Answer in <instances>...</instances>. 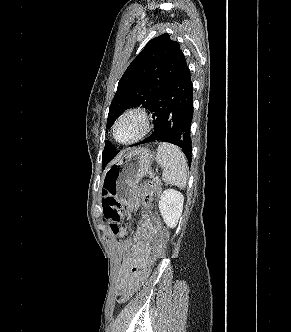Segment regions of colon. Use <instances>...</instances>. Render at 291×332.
Wrapping results in <instances>:
<instances>
[{
    "mask_svg": "<svg viewBox=\"0 0 291 332\" xmlns=\"http://www.w3.org/2000/svg\"><path fill=\"white\" fill-rule=\"evenodd\" d=\"M160 192L159 187L152 182H145L140 186V194L142 202L150 205L154 195ZM102 210L105 219L110 223L111 231L115 235L124 236L127 232L124 227L120 226L121 212L114 196L105 191L102 193ZM168 240V233L163 230L160 235V244L155 249L154 254L148 259L147 263L138 270L131 284L122 292L120 301L122 303L128 301L142 286L147 278L153 264L164 254V248Z\"/></svg>",
    "mask_w": 291,
    "mask_h": 332,
    "instance_id": "5ec220e1",
    "label": "colon"
}]
</instances>
